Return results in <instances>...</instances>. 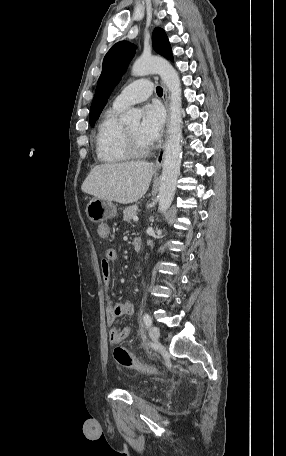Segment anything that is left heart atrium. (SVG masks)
Segmentation results:
<instances>
[{
    "label": "left heart atrium",
    "instance_id": "39dd6f15",
    "mask_svg": "<svg viewBox=\"0 0 286 456\" xmlns=\"http://www.w3.org/2000/svg\"><path fill=\"white\" fill-rule=\"evenodd\" d=\"M165 121L163 108L158 104H147L143 109L140 135L149 144L154 143L162 134Z\"/></svg>",
    "mask_w": 286,
    "mask_h": 456
}]
</instances>
